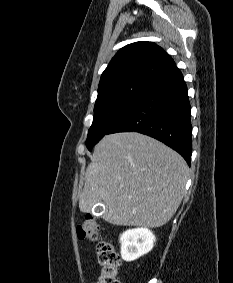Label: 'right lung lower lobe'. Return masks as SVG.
Wrapping results in <instances>:
<instances>
[{"instance_id":"obj_1","label":"right lung lower lobe","mask_w":233,"mask_h":283,"mask_svg":"<svg viewBox=\"0 0 233 283\" xmlns=\"http://www.w3.org/2000/svg\"><path fill=\"white\" fill-rule=\"evenodd\" d=\"M190 112L186 83L175 67L150 81L108 134L135 131L151 136L177 151L190 165Z\"/></svg>"}]
</instances>
